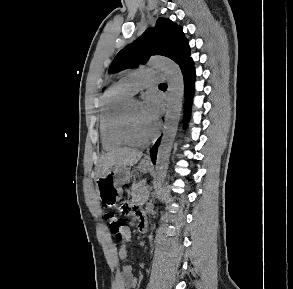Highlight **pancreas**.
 <instances>
[{"instance_id": "obj_1", "label": "pancreas", "mask_w": 293, "mask_h": 289, "mask_svg": "<svg viewBox=\"0 0 293 289\" xmlns=\"http://www.w3.org/2000/svg\"><path fill=\"white\" fill-rule=\"evenodd\" d=\"M131 195L134 200L146 201L149 197V191L145 186V181L134 183L132 185Z\"/></svg>"}]
</instances>
